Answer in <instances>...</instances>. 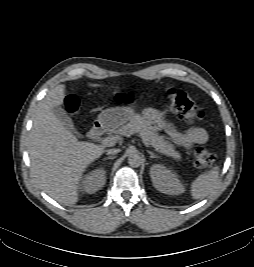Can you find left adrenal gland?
Here are the masks:
<instances>
[{
    "label": "left adrenal gland",
    "mask_w": 254,
    "mask_h": 267,
    "mask_svg": "<svg viewBox=\"0 0 254 267\" xmlns=\"http://www.w3.org/2000/svg\"><path fill=\"white\" fill-rule=\"evenodd\" d=\"M147 153L150 155V158L153 159V158H160V156L154 154L152 151L150 150H147Z\"/></svg>",
    "instance_id": "1"
}]
</instances>
